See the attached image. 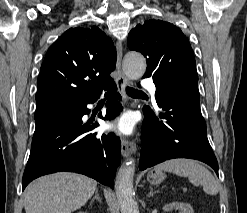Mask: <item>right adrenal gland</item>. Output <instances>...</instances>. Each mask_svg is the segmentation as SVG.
<instances>
[{"mask_svg":"<svg viewBox=\"0 0 247 213\" xmlns=\"http://www.w3.org/2000/svg\"><path fill=\"white\" fill-rule=\"evenodd\" d=\"M94 200H98L99 202H102V200H101V198H100V196H99V194H98V189H96V191H95V196L91 199L90 202L93 203Z\"/></svg>","mask_w":247,"mask_h":213,"instance_id":"right-adrenal-gland-1","label":"right adrenal gland"}]
</instances>
